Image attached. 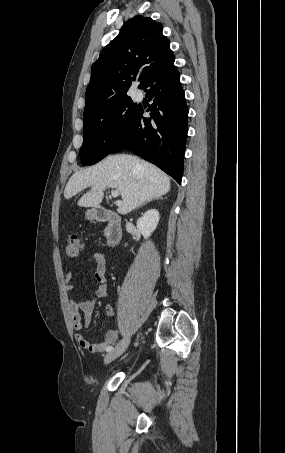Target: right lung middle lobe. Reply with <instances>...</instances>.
Listing matches in <instances>:
<instances>
[{
	"label": "right lung middle lobe",
	"instance_id": "obj_1",
	"mask_svg": "<svg viewBox=\"0 0 285 453\" xmlns=\"http://www.w3.org/2000/svg\"><path fill=\"white\" fill-rule=\"evenodd\" d=\"M139 106L127 95L112 99L83 114V165H93L109 153L123 136Z\"/></svg>",
	"mask_w": 285,
	"mask_h": 453
}]
</instances>
